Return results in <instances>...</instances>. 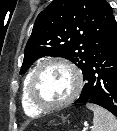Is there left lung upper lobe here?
I'll list each match as a JSON object with an SVG mask.
<instances>
[{
    "instance_id": "1",
    "label": "left lung upper lobe",
    "mask_w": 117,
    "mask_h": 131,
    "mask_svg": "<svg viewBox=\"0 0 117 131\" xmlns=\"http://www.w3.org/2000/svg\"><path fill=\"white\" fill-rule=\"evenodd\" d=\"M113 15L105 0H54L36 18L20 70L39 58L63 57L84 73L103 45Z\"/></svg>"
}]
</instances>
